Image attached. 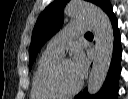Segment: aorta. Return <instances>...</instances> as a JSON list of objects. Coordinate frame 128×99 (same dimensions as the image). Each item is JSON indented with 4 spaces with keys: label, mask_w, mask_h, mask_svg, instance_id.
Wrapping results in <instances>:
<instances>
[{
    "label": "aorta",
    "mask_w": 128,
    "mask_h": 99,
    "mask_svg": "<svg viewBox=\"0 0 128 99\" xmlns=\"http://www.w3.org/2000/svg\"><path fill=\"white\" fill-rule=\"evenodd\" d=\"M65 13L71 18L87 19L93 26L95 57L87 88L88 93L94 95L101 89L112 59L114 34L110 19L101 8L84 0L70 1Z\"/></svg>",
    "instance_id": "aorta-1"
}]
</instances>
